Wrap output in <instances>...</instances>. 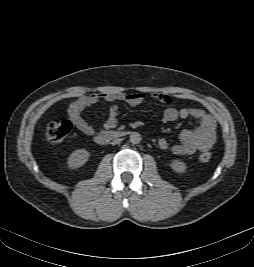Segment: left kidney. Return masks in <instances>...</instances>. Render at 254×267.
<instances>
[{
    "instance_id": "1",
    "label": "left kidney",
    "mask_w": 254,
    "mask_h": 267,
    "mask_svg": "<svg viewBox=\"0 0 254 267\" xmlns=\"http://www.w3.org/2000/svg\"><path fill=\"white\" fill-rule=\"evenodd\" d=\"M170 167L177 173H184L186 170V164L179 159L172 160Z\"/></svg>"
}]
</instances>
